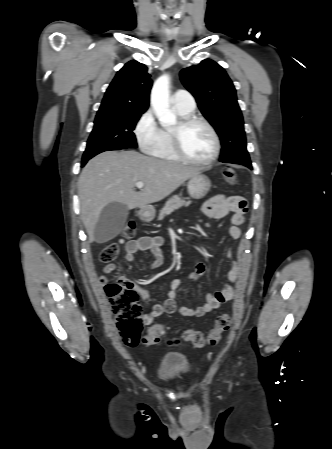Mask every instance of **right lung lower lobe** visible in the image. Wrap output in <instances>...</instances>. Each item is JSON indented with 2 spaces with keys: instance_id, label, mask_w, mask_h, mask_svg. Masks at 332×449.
Returning <instances> with one entry per match:
<instances>
[{
  "instance_id": "right-lung-lower-lobe-1",
  "label": "right lung lower lobe",
  "mask_w": 332,
  "mask_h": 449,
  "mask_svg": "<svg viewBox=\"0 0 332 449\" xmlns=\"http://www.w3.org/2000/svg\"><path fill=\"white\" fill-rule=\"evenodd\" d=\"M89 159H82V166H84Z\"/></svg>"
}]
</instances>
